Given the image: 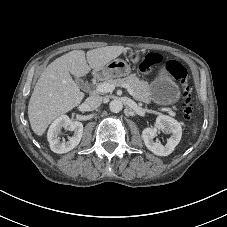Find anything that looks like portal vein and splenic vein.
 Masks as SVG:
<instances>
[{
    "mask_svg": "<svg viewBox=\"0 0 227 227\" xmlns=\"http://www.w3.org/2000/svg\"><path fill=\"white\" fill-rule=\"evenodd\" d=\"M115 87L116 86L114 84L104 82L96 86V91L100 93H109L112 92L115 89ZM121 87L126 88L130 94H133V90L128 84H122ZM168 112L171 116H175V112H173L172 110L168 109Z\"/></svg>",
    "mask_w": 227,
    "mask_h": 227,
    "instance_id": "obj_1",
    "label": "portal vein and splenic vein"
}]
</instances>
